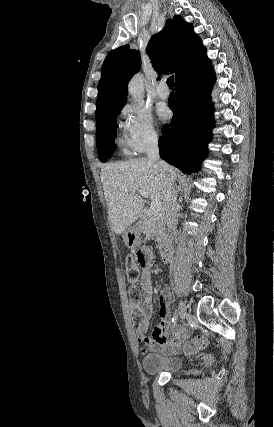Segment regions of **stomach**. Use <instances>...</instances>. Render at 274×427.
<instances>
[{
	"label": "stomach",
	"instance_id": "0dacf381",
	"mask_svg": "<svg viewBox=\"0 0 274 427\" xmlns=\"http://www.w3.org/2000/svg\"><path fill=\"white\" fill-rule=\"evenodd\" d=\"M123 239L128 247H138L142 241L139 225H131L123 233Z\"/></svg>",
	"mask_w": 274,
	"mask_h": 427
}]
</instances>
